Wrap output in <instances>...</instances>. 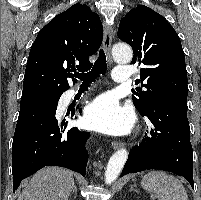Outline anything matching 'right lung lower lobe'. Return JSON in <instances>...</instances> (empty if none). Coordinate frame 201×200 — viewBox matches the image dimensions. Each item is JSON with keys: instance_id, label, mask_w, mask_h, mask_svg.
Wrapping results in <instances>:
<instances>
[{"instance_id": "98d812e1", "label": "right lung lower lobe", "mask_w": 201, "mask_h": 200, "mask_svg": "<svg viewBox=\"0 0 201 200\" xmlns=\"http://www.w3.org/2000/svg\"><path fill=\"white\" fill-rule=\"evenodd\" d=\"M59 99L20 107L12 144L13 191L21 181L44 166H62L85 176L89 134L61 126L56 119Z\"/></svg>"}]
</instances>
